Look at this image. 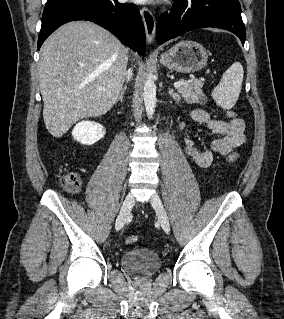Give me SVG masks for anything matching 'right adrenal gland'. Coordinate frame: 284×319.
<instances>
[{
  "instance_id": "right-adrenal-gland-1",
  "label": "right adrenal gland",
  "mask_w": 284,
  "mask_h": 319,
  "mask_svg": "<svg viewBox=\"0 0 284 319\" xmlns=\"http://www.w3.org/2000/svg\"><path fill=\"white\" fill-rule=\"evenodd\" d=\"M126 89H127V86H124V88L121 90V92H120V94H119V96H118V99H117L116 103H117L118 101L123 102V94H124V92L126 91Z\"/></svg>"
}]
</instances>
